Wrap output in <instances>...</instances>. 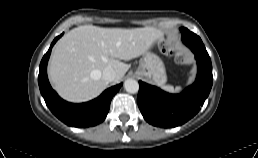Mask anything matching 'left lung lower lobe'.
Instances as JSON below:
<instances>
[{"instance_id":"0a47b994","label":"left lung lower lobe","mask_w":258,"mask_h":158,"mask_svg":"<svg viewBox=\"0 0 258 158\" xmlns=\"http://www.w3.org/2000/svg\"><path fill=\"white\" fill-rule=\"evenodd\" d=\"M182 41L197 60L198 73L192 86L180 94H169L139 81L137 103L144 119L157 127H176L195 116L208 97L212 83V64L199 36L182 28Z\"/></svg>"}]
</instances>
